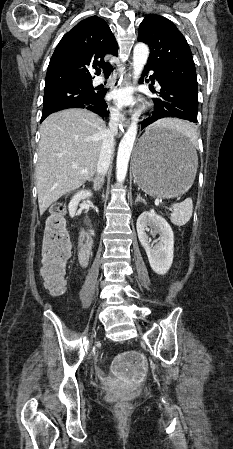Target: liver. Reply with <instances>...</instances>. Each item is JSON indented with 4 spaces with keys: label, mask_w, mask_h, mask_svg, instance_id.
I'll use <instances>...</instances> for the list:
<instances>
[{
    "label": "liver",
    "mask_w": 233,
    "mask_h": 449,
    "mask_svg": "<svg viewBox=\"0 0 233 449\" xmlns=\"http://www.w3.org/2000/svg\"><path fill=\"white\" fill-rule=\"evenodd\" d=\"M155 125L171 127L183 123L162 119ZM106 131L105 122L86 109L59 111L43 121L35 169L41 215L94 175Z\"/></svg>",
    "instance_id": "obj_1"
}]
</instances>
